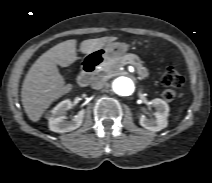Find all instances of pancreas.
Segmentation results:
<instances>
[{
    "instance_id": "pancreas-1",
    "label": "pancreas",
    "mask_w": 212,
    "mask_h": 183,
    "mask_svg": "<svg viewBox=\"0 0 212 183\" xmlns=\"http://www.w3.org/2000/svg\"><path fill=\"white\" fill-rule=\"evenodd\" d=\"M131 64L137 69V73L141 79H146L149 76L148 69L142 65V61L139 56L128 53L123 56L110 58L107 63L102 64L101 71L104 73H112L118 70L120 66Z\"/></svg>"
}]
</instances>
